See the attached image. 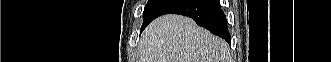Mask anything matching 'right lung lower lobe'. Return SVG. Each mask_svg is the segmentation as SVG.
Here are the masks:
<instances>
[{
	"mask_svg": "<svg viewBox=\"0 0 331 62\" xmlns=\"http://www.w3.org/2000/svg\"><path fill=\"white\" fill-rule=\"evenodd\" d=\"M169 13L191 17L199 26L205 27L228 43L231 41L226 16L220 8L219 0H175L158 16ZM147 25L143 26L141 31Z\"/></svg>",
	"mask_w": 331,
	"mask_h": 62,
	"instance_id": "98d812e1",
	"label": "right lung lower lobe"
}]
</instances>
